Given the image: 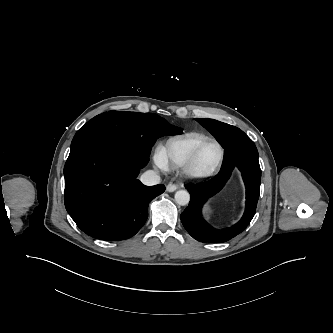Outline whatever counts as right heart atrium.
Listing matches in <instances>:
<instances>
[{"label":"right heart atrium","mask_w":333,"mask_h":333,"mask_svg":"<svg viewBox=\"0 0 333 333\" xmlns=\"http://www.w3.org/2000/svg\"><path fill=\"white\" fill-rule=\"evenodd\" d=\"M155 163H156V165H158V166L161 167V168H167L166 165H165V164L163 163V161L161 160L159 154H157V155L155 156Z\"/></svg>","instance_id":"1"}]
</instances>
